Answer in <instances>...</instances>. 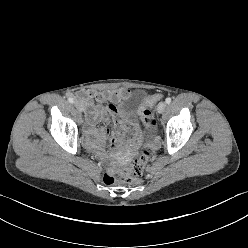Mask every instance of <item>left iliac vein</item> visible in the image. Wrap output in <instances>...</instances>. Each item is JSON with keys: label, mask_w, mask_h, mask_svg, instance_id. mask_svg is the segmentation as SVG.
<instances>
[{"label": "left iliac vein", "mask_w": 248, "mask_h": 248, "mask_svg": "<svg viewBox=\"0 0 248 248\" xmlns=\"http://www.w3.org/2000/svg\"><path fill=\"white\" fill-rule=\"evenodd\" d=\"M166 109V102H160L157 106V112L158 113H163Z\"/></svg>", "instance_id": "obj_1"}]
</instances>
